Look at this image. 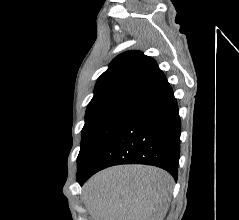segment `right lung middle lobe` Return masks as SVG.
I'll use <instances>...</instances> for the list:
<instances>
[{
  "mask_svg": "<svg viewBox=\"0 0 239 220\" xmlns=\"http://www.w3.org/2000/svg\"><path fill=\"white\" fill-rule=\"evenodd\" d=\"M131 106H118L85 117L81 149L77 158V178L83 177L90 171Z\"/></svg>",
  "mask_w": 239,
  "mask_h": 220,
  "instance_id": "obj_1",
  "label": "right lung middle lobe"
}]
</instances>
